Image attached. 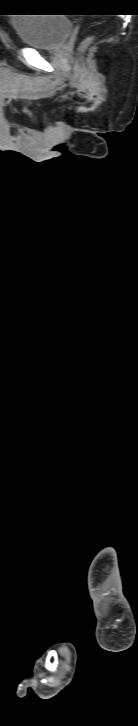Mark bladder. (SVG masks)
Listing matches in <instances>:
<instances>
[{
	"instance_id": "obj_1",
	"label": "bladder",
	"mask_w": 138,
	"mask_h": 726,
	"mask_svg": "<svg viewBox=\"0 0 138 726\" xmlns=\"http://www.w3.org/2000/svg\"><path fill=\"white\" fill-rule=\"evenodd\" d=\"M21 43L37 49H55L72 30V22L63 14L26 13L11 21Z\"/></svg>"
}]
</instances>
